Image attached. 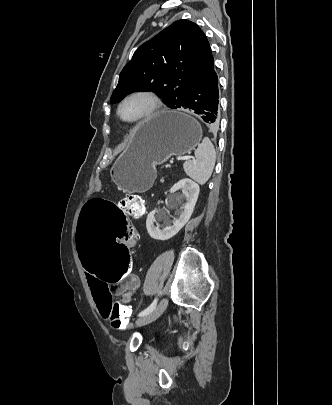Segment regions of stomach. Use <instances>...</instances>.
Here are the masks:
<instances>
[{
    "mask_svg": "<svg viewBox=\"0 0 332 405\" xmlns=\"http://www.w3.org/2000/svg\"><path fill=\"white\" fill-rule=\"evenodd\" d=\"M201 139V126L187 111L158 112L136 125L127 149L110 169L111 179L124 192L147 190L156 165L186 155Z\"/></svg>",
    "mask_w": 332,
    "mask_h": 405,
    "instance_id": "0dacf381",
    "label": "stomach"
}]
</instances>
